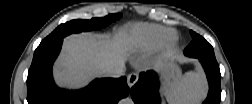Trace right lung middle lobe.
<instances>
[{"label":"right lung middle lobe","instance_id":"1","mask_svg":"<svg viewBox=\"0 0 252 104\" xmlns=\"http://www.w3.org/2000/svg\"><path fill=\"white\" fill-rule=\"evenodd\" d=\"M121 17L120 13L111 14L102 18H93L91 20H72L58 26L49 36H47L40 45L49 44L58 40H62L65 36L71 33L82 31L97 30L106 27L112 21Z\"/></svg>","mask_w":252,"mask_h":104}]
</instances>
